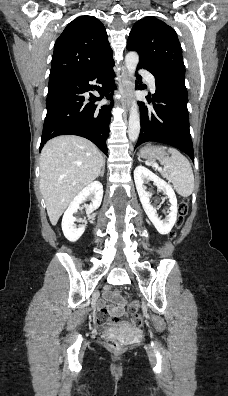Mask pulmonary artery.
Masks as SVG:
<instances>
[{
	"instance_id": "pulmonary-artery-1",
	"label": "pulmonary artery",
	"mask_w": 228,
	"mask_h": 396,
	"mask_svg": "<svg viewBox=\"0 0 228 396\" xmlns=\"http://www.w3.org/2000/svg\"><path fill=\"white\" fill-rule=\"evenodd\" d=\"M140 74H141L143 77H145V78L147 79L150 88H151L152 90H155V87H156V86H155V80H154V77L152 76V74L149 73V72L146 71V70H141V71H140Z\"/></svg>"
}]
</instances>
